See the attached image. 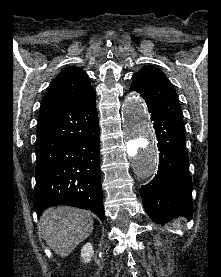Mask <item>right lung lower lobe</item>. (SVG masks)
<instances>
[{
    "mask_svg": "<svg viewBox=\"0 0 221 277\" xmlns=\"http://www.w3.org/2000/svg\"><path fill=\"white\" fill-rule=\"evenodd\" d=\"M99 122L95 91L62 105L41 107L36 142L35 210L53 205L95 212L104 221Z\"/></svg>",
    "mask_w": 221,
    "mask_h": 277,
    "instance_id": "98d812e1",
    "label": "right lung lower lobe"
}]
</instances>
